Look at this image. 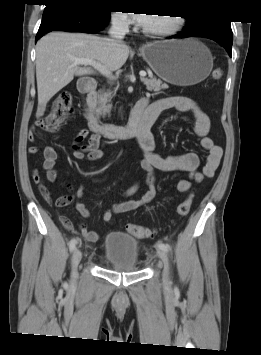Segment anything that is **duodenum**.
<instances>
[{
    "mask_svg": "<svg viewBox=\"0 0 261 355\" xmlns=\"http://www.w3.org/2000/svg\"><path fill=\"white\" fill-rule=\"evenodd\" d=\"M97 87L98 83L91 79H82L78 84V89L84 96V117L91 131L115 139L130 138L151 128L152 121L146 119L143 115L142 102H140L142 99L136 104V108L134 107L128 124L116 125L100 121L93 108Z\"/></svg>",
    "mask_w": 261,
    "mask_h": 355,
    "instance_id": "duodenum-1",
    "label": "duodenum"
}]
</instances>
